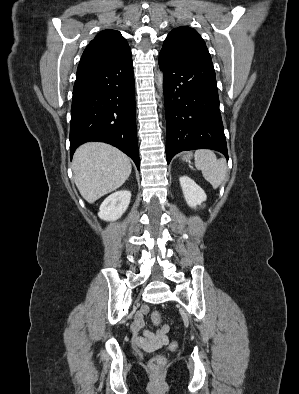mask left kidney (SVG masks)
Masks as SVG:
<instances>
[{"label":"left kidney","mask_w":299,"mask_h":394,"mask_svg":"<svg viewBox=\"0 0 299 394\" xmlns=\"http://www.w3.org/2000/svg\"><path fill=\"white\" fill-rule=\"evenodd\" d=\"M180 186L183 191L186 203L191 208H196L206 201V194L204 190L198 186L191 178L188 176H182L179 178Z\"/></svg>","instance_id":"5707ae66"}]
</instances>
